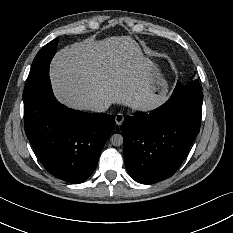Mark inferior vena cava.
<instances>
[{
	"instance_id": "obj_1",
	"label": "inferior vena cava",
	"mask_w": 233,
	"mask_h": 233,
	"mask_svg": "<svg viewBox=\"0 0 233 233\" xmlns=\"http://www.w3.org/2000/svg\"><path fill=\"white\" fill-rule=\"evenodd\" d=\"M110 104L106 101H96L93 103L89 110L92 112H105L109 108Z\"/></svg>"
}]
</instances>
